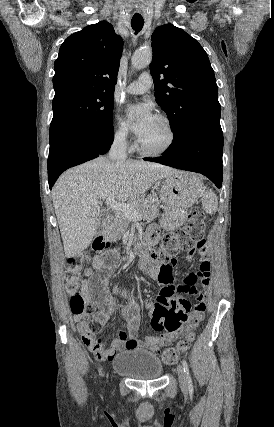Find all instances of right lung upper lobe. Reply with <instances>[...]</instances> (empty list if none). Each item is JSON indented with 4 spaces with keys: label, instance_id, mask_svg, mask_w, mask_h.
<instances>
[{
    "label": "right lung upper lobe",
    "instance_id": "cb5924a9",
    "mask_svg": "<svg viewBox=\"0 0 274 427\" xmlns=\"http://www.w3.org/2000/svg\"><path fill=\"white\" fill-rule=\"evenodd\" d=\"M122 50V38L106 21L69 36L54 63L53 102L68 94L113 95Z\"/></svg>",
    "mask_w": 274,
    "mask_h": 427
}]
</instances>
